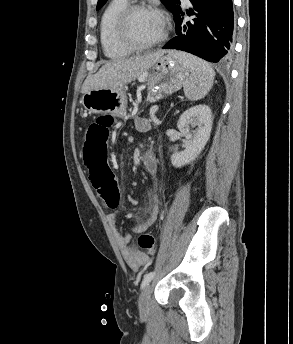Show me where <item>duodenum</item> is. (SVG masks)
I'll list each match as a JSON object with an SVG mask.
<instances>
[{
	"mask_svg": "<svg viewBox=\"0 0 293 344\" xmlns=\"http://www.w3.org/2000/svg\"><path fill=\"white\" fill-rule=\"evenodd\" d=\"M153 155L149 152L144 153L143 157H142V163L145 166H150L151 162L153 161Z\"/></svg>",
	"mask_w": 293,
	"mask_h": 344,
	"instance_id": "410a0bca",
	"label": "duodenum"
}]
</instances>
